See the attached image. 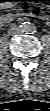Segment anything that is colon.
I'll return each mask as SVG.
<instances>
[{
	"instance_id": "1",
	"label": "colon",
	"mask_w": 50,
	"mask_h": 111,
	"mask_svg": "<svg viewBox=\"0 0 50 111\" xmlns=\"http://www.w3.org/2000/svg\"><path fill=\"white\" fill-rule=\"evenodd\" d=\"M15 14H22V15H25V14H31V15H35V16H44V17H47L48 16V12L47 11H43V10H40V9H36V8H30V7H26L20 11H16Z\"/></svg>"
}]
</instances>
